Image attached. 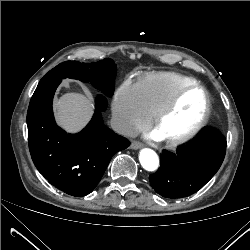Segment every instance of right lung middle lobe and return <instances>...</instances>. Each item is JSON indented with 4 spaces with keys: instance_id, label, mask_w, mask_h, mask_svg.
Here are the masks:
<instances>
[{
    "instance_id": "right-lung-middle-lobe-1",
    "label": "right lung middle lobe",
    "mask_w": 250,
    "mask_h": 250,
    "mask_svg": "<svg viewBox=\"0 0 250 250\" xmlns=\"http://www.w3.org/2000/svg\"><path fill=\"white\" fill-rule=\"evenodd\" d=\"M117 66L111 59H104L96 63H80L66 61L50 70L39 82L50 80H62L64 78L79 79L83 82H91L96 88L108 97L114 92Z\"/></svg>"
}]
</instances>
